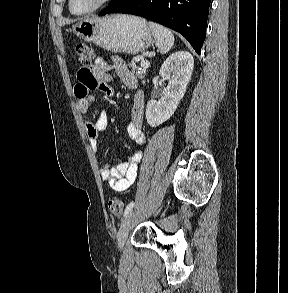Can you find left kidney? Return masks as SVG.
I'll use <instances>...</instances> for the list:
<instances>
[{
    "label": "left kidney",
    "instance_id": "5707ae66",
    "mask_svg": "<svg viewBox=\"0 0 288 293\" xmlns=\"http://www.w3.org/2000/svg\"><path fill=\"white\" fill-rule=\"evenodd\" d=\"M193 56L186 51L171 54L160 69V77L168 81L160 100H150L146 107V119L151 127L168 120L177 109L191 79Z\"/></svg>",
    "mask_w": 288,
    "mask_h": 293
}]
</instances>
